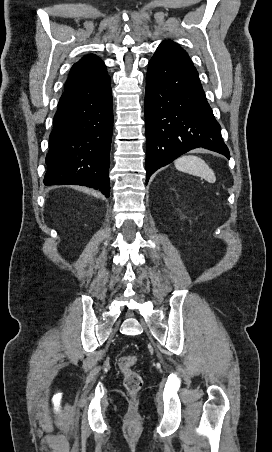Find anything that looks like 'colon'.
<instances>
[{
  "label": "colon",
  "mask_w": 272,
  "mask_h": 452,
  "mask_svg": "<svg viewBox=\"0 0 272 452\" xmlns=\"http://www.w3.org/2000/svg\"><path fill=\"white\" fill-rule=\"evenodd\" d=\"M136 363V355H123L118 359L119 369L124 376L125 389L132 396L137 394L143 385L141 374L133 368Z\"/></svg>",
  "instance_id": "5ec220e1"
}]
</instances>
